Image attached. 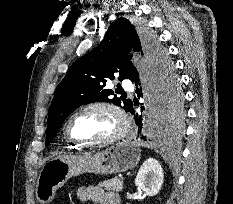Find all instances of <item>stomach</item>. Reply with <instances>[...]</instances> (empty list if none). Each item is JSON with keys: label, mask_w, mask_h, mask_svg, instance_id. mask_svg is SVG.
<instances>
[{"label": "stomach", "mask_w": 233, "mask_h": 204, "mask_svg": "<svg viewBox=\"0 0 233 204\" xmlns=\"http://www.w3.org/2000/svg\"><path fill=\"white\" fill-rule=\"evenodd\" d=\"M141 149L133 141L119 142L94 155L59 156L46 162L36 185V198L49 204L56 190L73 176L83 173L111 175L133 169L139 162Z\"/></svg>", "instance_id": "obj_1"}]
</instances>
